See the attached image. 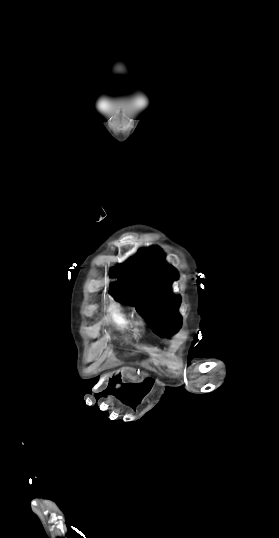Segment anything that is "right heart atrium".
<instances>
[{"label": "right heart atrium", "instance_id": "d8ad5b80", "mask_svg": "<svg viewBox=\"0 0 279 538\" xmlns=\"http://www.w3.org/2000/svg\"><path fill=\"white\" fill-rule=\"evenodd\" d=\"M139 236H140L139 233H135V234L133 235L134 238H139Z\"/></svg>", "mask_w": 279, "mask_h": 538}]
</instances>
